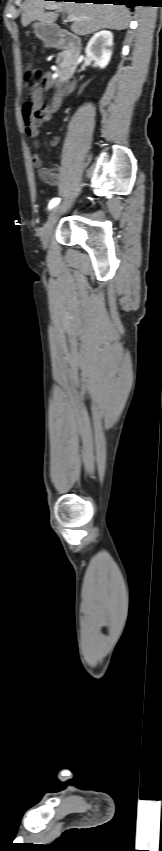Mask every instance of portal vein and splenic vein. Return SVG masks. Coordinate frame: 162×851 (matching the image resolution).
<instances>
[{
	"mask_svg": "<svg viewBox=\"0 0 162 851\" xmlns=\"http://www.w3.org/2000/svg\"><path fill=\"white\" fill-rule=\"evenodd\" d=\"M55 8H56L55 6H53V7H47V9H55ZM59 9H60V11H63V9H62V8H59ZM76 20H80V18H77V17H75V16H73V15H68V16H67V21H69V22L76 21Z\"/></svg>",
	"mask_w": 162,
	"mask_h": 851,
	"instance_id": "18ae733b",
	"label": "portal vein and splenic vein"
}]
</instances>
